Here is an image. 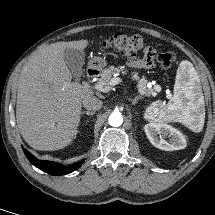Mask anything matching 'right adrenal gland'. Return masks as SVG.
Returning <instances> with one entry per match:
<instances>
[{"mask_svg":"<svg viewBox=\"0 0 215 215\" xmlns=\"http://www.w3.org/2000/svg\"><path fill=\"white\" fill-rule=\"evenodd\" d=\"M85 114H86V115H91V116H92V115L94 114V112H90V111H82V112H81V115H82V116L85 115Z\"/></svg>","mask_w":215,"mask_h":215,"instance_id":"2a0ac1e0","label":"right adrenal gland"}]
</instances>
